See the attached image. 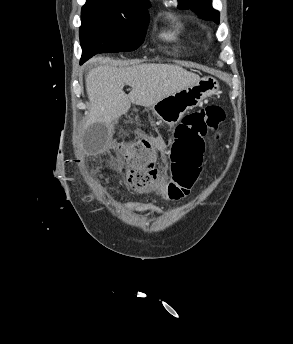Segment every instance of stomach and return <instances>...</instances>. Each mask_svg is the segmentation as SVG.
<instances>
[{
    "label": "stomach",
    "mask_w": 293,
    "mask_h": 344,
    "mask_svg": "<svg viewBox=\"0 0 293 344\" xmlns=\"http://www.w3.org/2000/svg\"><path fill=\"white\" fill-rule=\"evenodd\" d=\"M219 90V82L212 76L203 77L194 85L167 96L152 105L153 113L166 124H177L186 113Z\"/></svg>",
    "instance_id": "0dacf381"
}]
</instances>
